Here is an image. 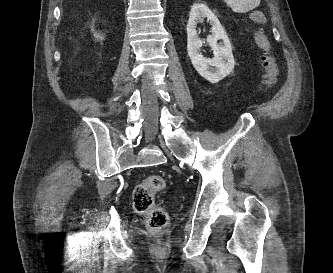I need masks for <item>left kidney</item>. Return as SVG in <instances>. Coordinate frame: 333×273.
I'll return each instance as SVG.
<instances>
[{"mask_svg":"<svg viewBox=\"0 0 333 273\" xmlns=\"http://www.w3.org/2000/svg\"><path fill=\"white\" fill-rule=\"evenodd\" d=\"M207 18L212 26V34L206 39L214 57L207 59L200 53L203 41L198 37L197 23ZM221 39L220 44L217 41ZM187 51L196 71L211 83H217L229 75L235 65L229 38L217 17L204 3H195L191 7L187 23Z\"/></svg>","mask_w":333,"mask_h":273,"instance_id":"5707ae66","label":"left kidney"}]
</instances>
